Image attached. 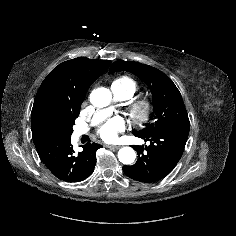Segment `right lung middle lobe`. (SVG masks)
<instances>
[{"mask_svg":"<svg viewBox=\"0 0 236 236\" xmlns=\"http://www.w3.org/2000/svg\"><path fill=\"white\" fill-rule=\"evenodd\" d=\"M75 119H64L54 122L49 127V133L60 137L69 138L73 132V124Z\"/></svg>","mask_w":236,"mask_h":236,"instance_id":"1","label":"right lung middle lobe"}]
</instances>
